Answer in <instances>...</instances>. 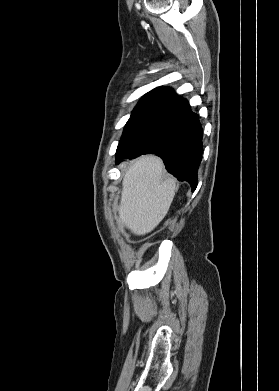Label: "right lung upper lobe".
<instances>
[{
	"label": "right lung upper lobe",
	"mask_w": 279,
	"mask_h": 391,
	"mask_svg": "<svg viewBox=\"0 0 279 391\" xmlns=\"http://www.w3.org/2000/svg\"><path fill=\"white\" fill-rule=\"evenodd\" d=\"M181 99L172 88L157 87L145 94L135 109H160L163 110L167 106Z\"/></svg>",
	"instance_id": "obj_1"
}]
</instances>
